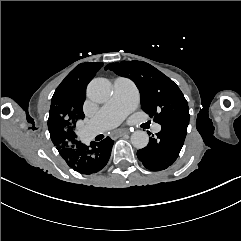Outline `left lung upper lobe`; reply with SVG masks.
<instances>
[{"label": "left lung upper lobe", "instance_id": "left-lung-upper-lobe-1", "mask_svg": "<svg viewBox=\"0 0 241 241\" xmlns=\"http://www.w3.org/2000/svg\"><path fill=\"white\" fill-rule=\"evenodd\" d=\"M116 74L130 78L141 95V108L159 124L189 123L187 101L178 86L158 69L143 61L108 64Z\"/></svg>", "mask_w": 241, "mask_h": 241}]
</instances>
